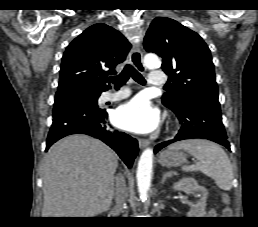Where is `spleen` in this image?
Masks as SVG:
<instances>
[{"instance_id": "spleen-1", "label": "spleen", "mask_w": 258, "mask_h": 227, "mask_svg": "<svg viewBox=\"0 0 258 227\" xmlns=\"http://www.w3.org/2000/svg\"><path fill=\"white\" fill-rule=\"evenodd\" d=\"M183 149L200 161V165L183 166L184 171H201L215 180L225 191L232 188L233 168L225 151L217 144L203 139H188L171 144L168 150Z\"/></svg>"}]
</instances>
